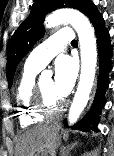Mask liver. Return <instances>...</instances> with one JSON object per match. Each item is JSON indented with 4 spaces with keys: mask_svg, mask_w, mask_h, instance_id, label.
<instances>
[{
    "mask_svg": "<svg viewBox=\"0 0 114 156\" xmlns=\"http://www.w3.org/2000/svg\"><path fill=\"white\" fill-rule=\"evenodd\" d=\"M50 126L38 124L25 131L17 140L15 156H34L45 142Z\"/></svg>",
    "mask_w": 114,
    "mask_h": 156,
    "instance_id": "6515ba94",
    "label": "liver"
}]
</instances>
